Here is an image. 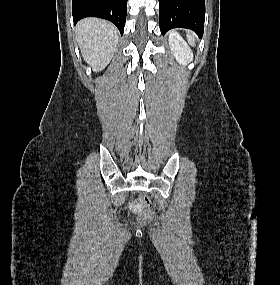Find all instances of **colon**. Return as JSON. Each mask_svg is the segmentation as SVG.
Here are the masks:
<instances>
[{"label": "colon", "instance_id": "5ec220e1", "mask_svg": "<svg viewBox=\"0 0 280 285\" xmlns=\"http://www.w3.org/2000/svg\"><path fill=\"white\" fill-rule=\"evenodd\" d=\"M139 205L142 208V210L144 211L145 215L149 219H152L154 214L151 211L152 200H151L150 196L147 195V194L141 195L140 198H139Z\"/></svg>", "mask_w": 280, "mask_h": 285}]
</instances>
